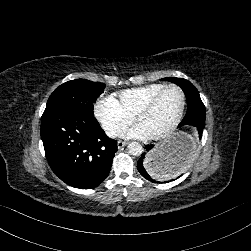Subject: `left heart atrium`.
Instances as JSON below:
<instances>
[{
  "instance_id": "39dd6f15",
  "label": "left heart atrium",
  "mask_w": 251,
  "mask_h": 251,
  "mask_svg": "<svg viewBox=\"0 0 251 251\" xmlns=\"http://www.w3.org/2000/svg\"><path fill=\"white\" fill-rule=\"evenodd\" d=\"M122 135L133 139H151L156 133L146 122L140 121L123 131Z\"/></svg>"
}]
</instances>
